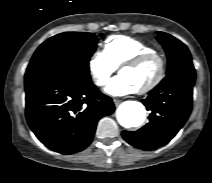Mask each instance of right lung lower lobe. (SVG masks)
Wrapping results in <instances>:
<instances>
[{"label":"right lung lower lobe","mask_w":212,"mask_h":183,"mask_svg":"<svg viewBox=\"0 0 212 183\" xmlns=\"http://www.w3.org/2000/svg\"><path fill=\"white\" fill-rule=\"evenodd\" d=\"M25 91L30 128L45 146L61 154L85 149L98 120L115 110L90 75L26 72Z\"/></svg>","instance_id":"obj_1"}]
</instances>
